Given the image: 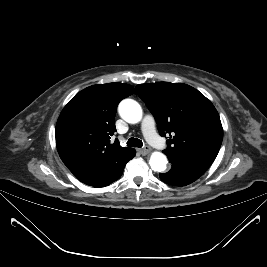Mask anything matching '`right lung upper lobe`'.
<instances>
[{"mask_svg": "<svg viewBox=\"0 0 267 267\" xmlns=\"http://www.w3.org/2000/svg\"><path fill=\"white\" fill-rule=\"evenodd\" d=\"M131 85H93L76 94L56 124V146L68 169L84 184L92 185L128 160L133 148L116 139L115 114L119 102L134 94Z\"/></svg>", "mask_w": 267, "mask_h": 267, "instance_id": "obj_1", "label": "right lung upper lobe"}]
</instances>
